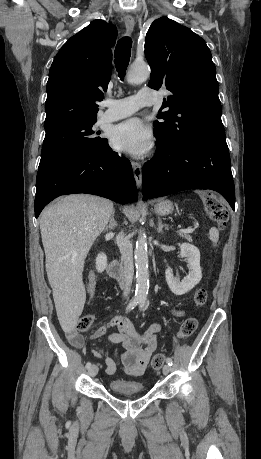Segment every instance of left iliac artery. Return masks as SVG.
Segmentation results:
<instances>
[{
	"label": "left iliac artery",
	"instance_id": "obj_1",
	"mask_svg": "<svg viewBox=\"0 0 261 459\" xmlns=\"http://www.w3.org/2000/svg\"><path fill=\"white\" fill-rule=\"evenodd\" d=\"M144 305H145V300H141V301H140V308L142 309V308L144 307ZM166 363H167L168 365L172 366V364H173L172 358H169V357H168V358L166 359Z\"/></svg>",
	"mask_w": 261,
	"mask_h": 459
}]
</instances>
